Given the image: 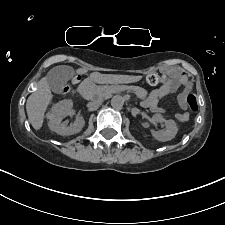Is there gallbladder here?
Listing matches in <instances>:
<instances>
[{
	"instance_id": "1",
	"label": "gallbladder",
	"mask_w": 225,
	"mask_h": 225,
	"mask_svg": "<svg viewBox=\"0 0 225 225\" xmlns=\"http://www.w3.org/2000/svg\"><path fill=\"white\" fill-rule=\"evenodd\" d=\"M73 69L69 66H56L51 69L46 78L50 89L55 92H61L67 81L73 76Z\"/></svg>"
}]
</instances>
